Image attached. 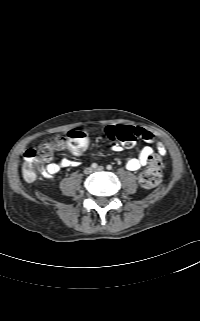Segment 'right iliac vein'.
<instances>
[{
    "instance_id": "right-iliac-vein-1",
    "label": "right iliac vein",
    "mask_w": 200,
    "mask_h": 321,
    "mask_svg": "<svg viewBox=\"0 0 200 321\" xmlns=\"http://www.w3.org/2000/svg\"><path fill=\"white\" fill-rule=\"evenodd\" d=\"M93 172V169L91 167H87L85 170H84V173L85 174H91Z\"/></svg>"
}]
</instances>
